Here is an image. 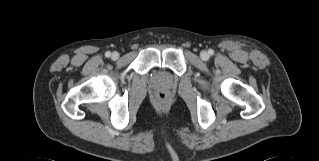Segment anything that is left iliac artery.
Segmentation results:
<instances>
[{
  "instance_id": "44dca946",
  "label": "left iliac artery",
  "mask_w": 319,
  "mask_h": 161,
  "mask_svg": "<svg viewBox=\"0 0 319 161\" xmlns=\"http://www.w3.org/2000/svg\"><path fill=\"white\" fill-rule=\"evenodd\" d=\"M208 53H209V55H213V54H214V51L211 50V49H209Z\"/></svg>"
}]
</instances>
